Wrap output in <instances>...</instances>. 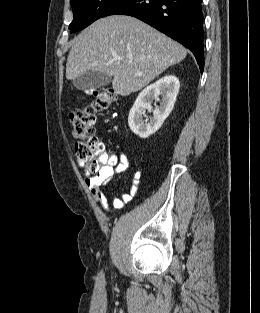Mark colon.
Returning a JSON list of instances; mask_svg holds the SVG:
<instances>
[{"label":"colon","mask_w":260,"mask_h":313,"mask_svg":"<svg viewBox=\"0 0 260 313\" xmlns=\"http://www.w3.org/2000/svg\"><path fill=\"white\" fill-rule=\"evenodd\" d=\"M88 94L92 101L74 109L70 122L73 135L79 139L75 144L76 156L88 165L90 171L97 172L109 161L104 159V145L95 135L96 114L112 106L117 95L112 88L105 87L91 88Z\"/></svg>","instance_id":"obj_1"}]
</instances>
